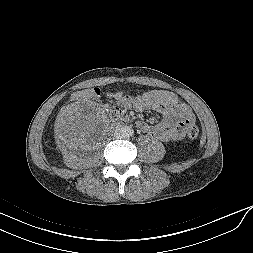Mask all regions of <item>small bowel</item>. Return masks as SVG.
<instances>
[{
    "label": "small bowel",
    "instance_id": "1",
    "mask_svg": "<svg viewBox=\"0 0 253 253\" xmlns=\"http://www.w3.org/2000/svg\"><path fill=\"white\" fill-rule=\"evenodd\" d=\"M119 107H134L137 110H154L163 115L156 125L139 123L140 129L154 138L163 141H178L185 137L187 129L194 124V115L190 107L176 94L166 90H152L137 97L114 95Z\"/></svg>",
    "mask_w": 253,
    "mask_h": 253
}]
</instances>
